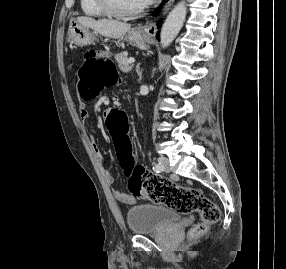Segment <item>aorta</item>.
Returning <instances> with one entry per match:
<instances>
[{
	"label": "aorta",
	"instance_id": "obj_1",
	"mask_svg": "<svg viewBox=\"0 0 286 269\" xmlns=\"http://www.w3.org/2000/svg\"><path fill=\"white\" fill-rule=\"evenodd\" d=\"M185 1L179 2L168 14L161 29V45L167 47L176 38L186 18Z\"/></svg>",
	"mask_w": 286,
	"mask_h": 269
}]
</instances>
